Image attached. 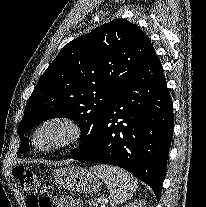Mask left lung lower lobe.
I'll list each match as a JSON object with an SVG mask.
<instances>
[{
    "mask_svg": "<svg viewBox=\"0 0 206 207\" xmlns=\"http://www.w3.org/2000/svg\"><path fill=\"white\" fill-rule=\"evenodd\" d=\"M173 125L172 100L154 52L109 104L93 143L71 155L129 171L148 184L159 201Z\"/></svg>",
    "mask_w": 206,
    "mask_h": 207,
    "instance_id": "1",
    "label": "left lung lower lobe"
}]
</instances>
